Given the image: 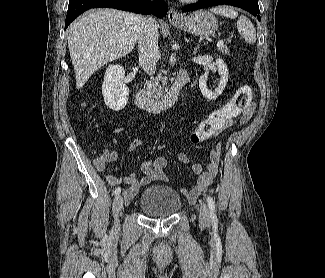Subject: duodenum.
<instances>
[{
  "mask_svg": "<svg viewBox=\"0 0 325 278\" xmlns=\"http://www.w3.org/2000/svg\"><path fill=\"white\" fill-rule=\"evenodd\" d=\"M188 81L189 73L186 70H183L178 74L175 81L162 98H152L136 89L134 92V101L136 105L149 112L159 113L175 104L180 90L188 83Z\"/></svg>",
  "mask_w": 325,
  "mask_h": 278,
  "instance_id": "obj_1",
  "label": "duodenum"
}]
</instances>
